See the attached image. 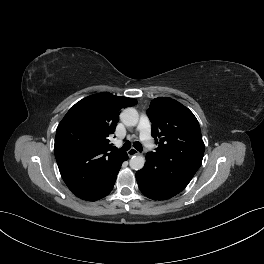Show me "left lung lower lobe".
Returning <instances> with one entry per match:
<instances>
[{
  "mask_svg": "<svg viewBox=\"0 0 264 264\" xmlns=\"http://www.w3.org/2000/svg\"><path fill=\"white\" fill-rule=\"evenodd\" d=\"M136 179L141 192L153 200H165L175 196L191 180L182 172L162 169L158 160L149 156H146L144 167L137 171Z\"/></svg>",
  "mask_w": 264,
  "mask_h": 264,
  "instance_id": "0a47b994",
  "label": "left lung lower lobe"
}]
</instances>
